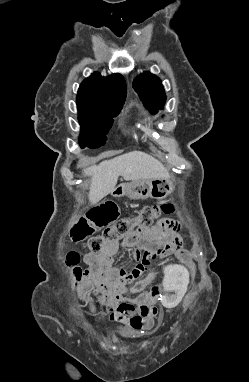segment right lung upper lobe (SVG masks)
<instances>
[{"label": "right lung upper lobe", "mask_w": 249, "mask_h": 382, "mask_svg": "<svg viewBox=\"0 0 249 382\" xmlns=\"http://www.w3.org/2000/svg\"><path fill=\"white\" fill-rule=\"evenodd\" d=\"M126 93V83L120 74L102 77L99 73H93L79 87L77 106L121 110Z\"/></svg>", "instance_id": "1"}]
</instances>
